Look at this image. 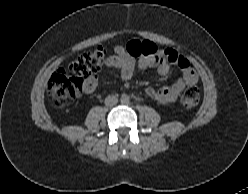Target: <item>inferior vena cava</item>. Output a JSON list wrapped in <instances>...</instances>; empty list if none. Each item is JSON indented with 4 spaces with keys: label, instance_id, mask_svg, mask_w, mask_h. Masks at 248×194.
<instances>
[{
    "label": "inferior vena cava",
    "instance_id": "1",
    "mask_svg": "<svg viewBox=\"0 0 248 194\" xmlns=\"http://www.w3.org/2000/svg\"><path fill=\"white\" fill-rule=\"evenodd\" d=\"M118 103V98L115 96H108L105 99V105L107 106H114Z\"/></svg>",
    "mask_w": 248,
    "mask_h": 194
}]
</instances>
